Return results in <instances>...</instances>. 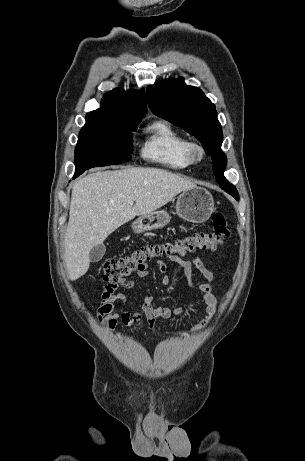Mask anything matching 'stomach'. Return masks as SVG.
<instances>
[{"label":"stomach","mask_w":305,"mask_h":461,"mask_svg":"<svg viewBox=\"0 0 305 461\" xmlns=\"http://www.w3.org/2000/svg\"><path fill=\"white\" fill-rule=\"evenodd\" d=\"M213 211V197L205 188L185 190L177 198L176 214L185 221L203 223L210 218ZM170 219V215L164 210L153 211L137 218L132 223V229L135 233H145L165 227Z\"/></svg>","instance_id":"0dacf381"}]
</instances>
